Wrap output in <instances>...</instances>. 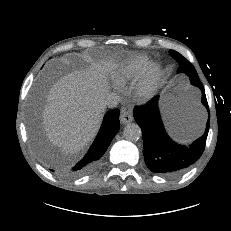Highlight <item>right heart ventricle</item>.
I'll return each mask as SVG.
<instances>
[{"label":"right heart ventricle","mask_w":231,"mask_h":231,"mask_svg":"<svg viewBox=\"0 0 231 231\" xmlns=\"http://www.w3.org/2000/svg\"><path fill=\"white\" fill-rule=\"evenodd\" d=\"M149 66L147 57L136 56L115 73L114 80L118 86H124L141 78Z\"/></svg>","instance_id":"1"}]
</instances>
